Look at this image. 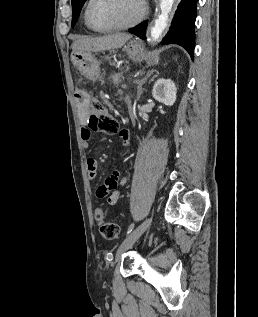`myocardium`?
Masks as SVG:
<instances>
[{
    "instance_id": "1",
    "label": "myocardium",
    "mask_w": 258,
    "mask_h": 317,
    "mask_svg": "<svg viewBox=\"0 0 258 317\" xmlns=\"http://www.w3.org/2000/svg\"><path fill=\"white\" fill-rule=\"evenodd\" d=\"M96 1H98V0H90L88 2V5H87L86 11H85V19H86L88 25L92 29L99 31V32L132 30L142 21V19L144 18V15H145V11H146L145 5L141 0H134L138 5L139 12H138L137 17L135 18V20L131 24L125 25V26L99 27L92 21V19L90 17L91 7Z\"/></svg>"
}]
</instances>
